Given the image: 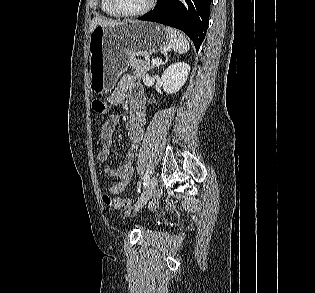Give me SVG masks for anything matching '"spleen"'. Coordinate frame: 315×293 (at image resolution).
<instances>
[{"label": "spleen", "mask_w": 315, "mask_h": 293, "mask_svg": "<svg viewBox=\"0 0 315 293\" xmlns=\"http://www.w3.org/2000/svg\"><path fill=\"white\" fill-rule=\"evenodd\" d=\"M165 31L169 36L170 47L174 52L185 54L189 51L190 45L186 37L180 31L168 26L165 27Z\"/></svg>", "instance_id": "1"}]
</instances>
